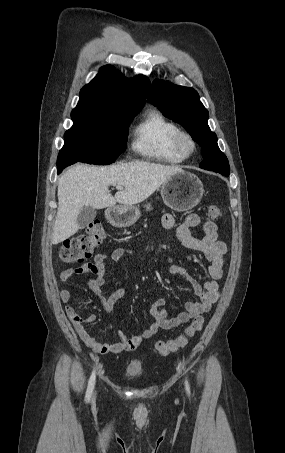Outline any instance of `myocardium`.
<instances>
[{
    "instance_id": "f54148a6",
    "label": "myocardium",
    "mask_w": 285,
    "mask_h": 453,
    "mask_svg": "<svg viewBox=\"0 0 285 453\" xmlns=\"http://www.w3.org/2000/svg\"><path fill=\"white\" fill-rule=\"evenodd\" d=\"M175 147L183 156L191 155L196 149V141L186 130H179L175 136Z\"/></svg>"
}]
</instances>
